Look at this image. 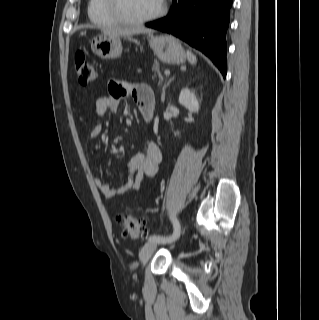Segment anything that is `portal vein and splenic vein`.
Returning <instances> with one entry per match:
<instances>
[{"label":"portal vein and splenic vein","mask_w":319,"mask_h":320,"mask_svg":"<svg viewBox=\"0 0 319 320\" xmlns=\"http://www.w3.org/2000/svg\"><path fill=\"white\" fill-rule=\"evenodd\" d=\"M164 74H165L166 76H168V75H170V71H169V70H165Z\"/></svg>","instance_id":"18ae733b"}]
</instances>
